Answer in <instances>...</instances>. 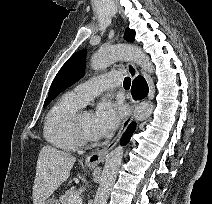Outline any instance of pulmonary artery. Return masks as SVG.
I'll return each instance as SVG.
<instances>
[{"instance_id":"1","label":"pulmonary artery","mask_w":212,"mask_h":204,"mask_svg":"<svg viewBox=\"0 0 212 204\" xmlns=\"http://www.w3.org/2000/svg\"><path fill=\"white\" fill-rule=\"evenodd\" d=\"M120 83L121 77L118 73H109L95 77L76 86L71 91V94L77 101L85 105L101 92L117 87Z\"/></svg>"}]
</instances>
